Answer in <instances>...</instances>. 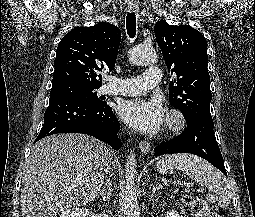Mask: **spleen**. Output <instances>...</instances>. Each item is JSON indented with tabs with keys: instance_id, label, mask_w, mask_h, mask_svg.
<instances>
[{
	"instance_id": "3e777b00",
	"label": "spleen",
	"mask_w": 255,
	"mask_h": 217,
	"mask_svg": "<svg viewBox=\"0 0 255 217\" xmlns=\"http://www.w3.org/2000/svg\"><path fill=\"white\" fill-rule=\"evenodd\" d=\"M170 169H180L190 178L217 194L218 206L227 207L232 199V190L227 179L206 160L192 154H171L157 163V171L165 174Z\"/></svg>"
}]
</instances>
